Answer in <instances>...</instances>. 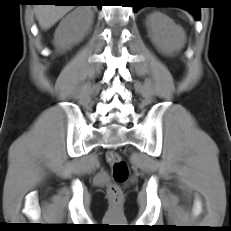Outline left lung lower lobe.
<instances>
[{"label": "left lung lower lobe", "mask_w": 231, "mask_h": 231, "mask_svg": "<svg viewBox=\"0 0 231 231\" xmlns=\"http://www.w3.org/2000/svg\"><path fill=\"white\" fill-rule=\"evenodd\" d=\"M160 3H170V4H182L181 7L190 13H192L195 19H200V8L196 6V2L193 0H169V1H161V0H133L134 11L136 12L138 9L142 7H157V4Z\"/></svg>", "instance_id": "obj_1"}]
</instances>
